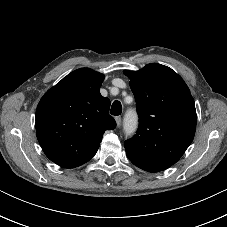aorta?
Wrapping results in <instances>:
<instances>
[{
    "instance_id": "obj_1",
    "label": "aorta",
    "mask_w": 227,
    "mask_h": 227,
    "mask_svg": "<svg viewBox=\"0 0 227 227\" xmlns=\"http://www.w3.org/2000/svg\"><path fill=\"white\" fill-rule=\"evenodd\" d=\"M135 127H136V120L130 115H127L126 124H125L126 131L130 133L135 129Z\"/></svg>"
}]
</instances>
